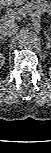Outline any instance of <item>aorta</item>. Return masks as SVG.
<instances>
[{
    "instance_id": "762f6f07",
    "label": "aorta",
    "mask_w": 51,
    "mask_h": 153,
    "mask_svg": "<svg viewBox=\"0 0 51 153\" xmlns=\"http://www.w3.org/2000/svg\"><path fill=\"white\" fill-rule=\"evenodd\" d=\"M38 40V35L35 32L29 30H24L19 36L20 47L24 49L35 47L38 43Z\"/></svg>"
}]
</instances>
